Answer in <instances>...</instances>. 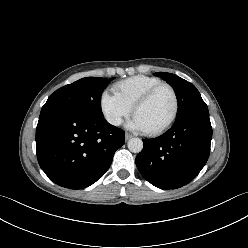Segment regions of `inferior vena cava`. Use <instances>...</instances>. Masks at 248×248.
Instances as JSON below:
<instances>
[{"label": "inferior vena cava", "mask_w": 248, "mask_h": 248, "mask_svg": "<svg viewBox=\"0 0 248 248\" xmlns=\"http://www.w3.org/2000/svg\"><path fill=\"white\" fill-rule=\"evenodd\" d=\"M108 122L112 125L118 126L122 123V120L120 117H111L108 119Z\"/></svg>", "instance_id": "obj_1"}]
</instances>
